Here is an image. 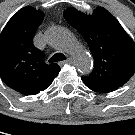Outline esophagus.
Listing matches in <instances>:
<instances>
[{"label":"esophagus","instance_id":"1","mask_svg":"<svg viewBox=\"0 0 135 135\" xmlns=\"http://www.w3.org/2000/svg\"><path fill=\"white\" fill-rule=\"evenodd\" d=\"M73 63V60H72V58H67V60L66 61H63V62H61V65H64V64H72Z\"/></svg>","mask_w":135,"mask_h":135}]
</instances>
